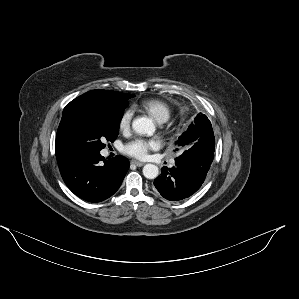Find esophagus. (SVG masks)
<instances>
[{
	"mask_svg": "<svg viewBox=\"0 0 299 299\" xmlns=\"http://www.w3.org/2000/svg\"><path fill=\"white\" fill-rule=\"evenodd\" d=\"M131 163L138 166V167H141L145 164L144 162H140V161H137V160H132Z\"/></svg>",
	"mask_w": 299,
	"mask_h": 299,
	"instance_id": "obj_1",
	"label": "esophagus"
}]
</instances>
